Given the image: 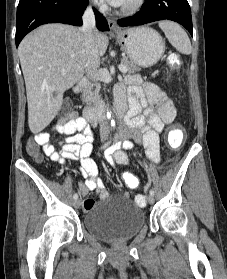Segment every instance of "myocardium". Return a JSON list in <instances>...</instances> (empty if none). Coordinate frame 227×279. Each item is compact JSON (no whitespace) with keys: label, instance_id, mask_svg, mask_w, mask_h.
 Segmentation results:
<instances>
[{"label":"myocardium","instance_id":"1","mask_svg":"<svg viewBox=\"0 0 227 279\" xmlns=\"http://www.w3.org/2000/svg\"><path fill=\"white\" fill-rule=\"evenodd\" d=\"M144 3L145 0H132L127 5H120L119 11L124 15H132L137 13L144 6Z\"/></svg>","mask_w":227,"mask_h":279}]
</instances>
